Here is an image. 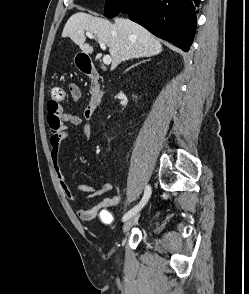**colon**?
I'll use <instances>...</instances> for the list:
<instances>
[{
	"mask_svg": "<svg viewBox=\"0 0 249 294\" xmlns=\"http://www.w3.org/2000/svg\"><path fill=\"white\" fill-rule=\"evenodd\" d=\"M65 98L64 90L60 86H53L51 89V97L49 103L57 106L60 102H62Z\"/></svg>",
	"mask_w": 249,
	"mask_h": 294,
	"instance_id": "obj_1",
	"label": "colon"
}]
</instances>
